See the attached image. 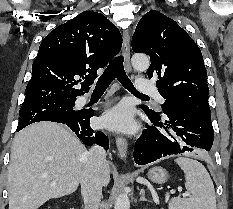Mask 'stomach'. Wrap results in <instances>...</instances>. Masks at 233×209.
<instances>
[{"label": "stomach", "instance_id": "1", "mask_svg": "<svg viewBox=\"0 0 233 209\" xmlns=\"http://www.w3.org/2000/svg\"><path fill=\"white\" fill-rule=\"evenodd\" d=\"M148 178L156 184H163L167 181L168 174L163 168L154 167L148 171Z\"/></svg>", "mask_w": 233, "mask_h": 209}]
</instances>
